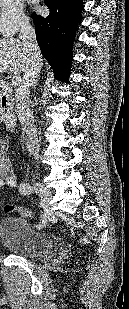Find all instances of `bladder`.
<instances>
[{"label": "bladder", "mask_w": 129, "mask_h": 309, "mask_svg": "<svg viewBox=\"0 0 129 309\" xmlns=\"http://www.w3.org/2000/svg\"><path fill=\"white\" fill-rule=\"evenodd\" d=\"M0 240L6 249L26 258L38 257L53 247L48 234L36 230L21 216H6L1 220Z\"/></svg>", "instance_id": "bladder-1"}]
</instances>
